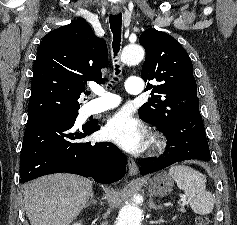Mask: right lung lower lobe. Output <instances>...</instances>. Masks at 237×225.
Returning <instances> with one entry per match:
<instances>
[{"label":"right lung lower lobe","instance_id":"obj_1","mask_svg":"<svg viewBox=\"0 0 237 225\" xmlns=\"http://www.w3.org/2000/svg\"><path fill=\"white\" fill-rule=\"evenodd\" d=\"M76 117L28 119L20 156L21 182L66 172L109 184L125 175L126 157L114 144L79 141L100 129L98 121L76 130Z\"/></svg>","mask_w":237,"mask_h":225}]
</instances>
